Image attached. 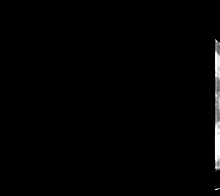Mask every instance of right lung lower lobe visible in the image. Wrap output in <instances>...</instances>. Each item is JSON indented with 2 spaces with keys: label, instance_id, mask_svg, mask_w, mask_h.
Returning <instances> with one entry per match:
<instances>
[{
  "label": "right lung lower lobe",
  "instance_id": "1",
  "mask_svg": "<svg viewBox=\"0 0 220 196\" xmlns=\"http://www.w3.org/2000/svg\"><path fill=\"white\" fill-rule=\"evenodd\" d=\"M53 123V122H52ZM53 127H54V129H55V131L59 134V135H61L64 139H66L67 141H70V142H76V141H79L80 139H82V137L81 138H78V139H73V138H70L68 135H66L65 133H63V131H61L60 130V128L59 127H57L54 123H53Z\"/></svg>",
  "mask_w": 220,
  "mask_h": 196
}]
</instances>
